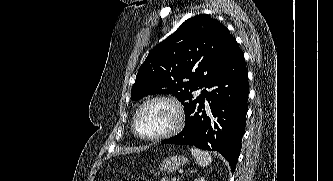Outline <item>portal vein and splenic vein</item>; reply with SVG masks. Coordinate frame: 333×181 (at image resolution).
<instances>
[{"label": "portal vein and splenic vein", "instance_id": "obj_1", "mask_svg": "<svg viewBox=\"0 0 333 181\" xmlns=\"http://www.w3.org/2000/svg\"><path fill=\"white\" fill-rule=\"evenodd\" d=\"M171 181H177V178H176V177H173V178L171 179Z\"/></svg>", "mask_w": 333, "mask_h": 181}]
</instances>
